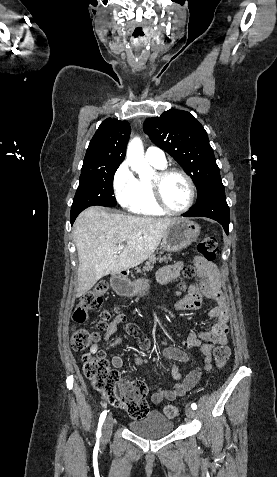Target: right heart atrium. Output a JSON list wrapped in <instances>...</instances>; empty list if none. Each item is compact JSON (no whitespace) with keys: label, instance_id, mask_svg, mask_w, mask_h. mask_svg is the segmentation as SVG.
Instances as JSON below:
<instances>
[{"label":"right heart atrium","instance_id":"right-heart-atrium-1","mask_svg":"<svg viewBox=\"0 0 277 477\" xmlns=\"http://www.w3.org/2000/svg\"><path fill=\"white\" fill-rule=\"evenodd\" d=\"M137 179L129 165L123 162L119 165L113 176V188L117 201L128 208L136 194Z\"/></svg>","mask_w":277,"mask_h":477}]
</instances>
